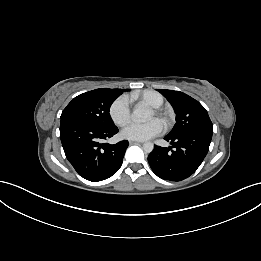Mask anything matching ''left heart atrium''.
I'll return each instance as SVG.
<instances>
[{
    "mask_svg": "<svg viewBox=\"0 0 261 261\" xmlns=\"http://www.w3.org/2000/svg\"><path fill=\"white\" fill-rule=\"evenodd\" d=\"M164 130V125L159 119H152L146 123L132 122L122 130V136L129 140L145 141L151 139Z\"/></svg>",
    "mask_w": 261,
    "mask_h": 261,
    "instance_id": "39dd6f15",
    "label": "left heart atrium"
}]
</instances>
